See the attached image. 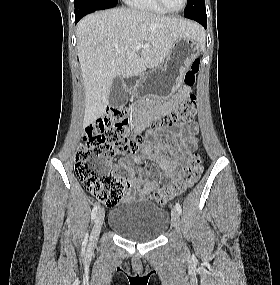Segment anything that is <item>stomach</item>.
Here are the masks:
<instances>
[{"mask_svg": "<svg viewBox=\"0 0 280 285\" xmlns=\"http://www.w3.org/2000/svg\"><path fill=\"white\" fill-rule=\"evenodd\" d=\"M199 54L200 46L197 39L191 37L178 39L166 57L161 73L143 75L131 85V93L140 95L144 88L159 85L157 98L160 101L168 100L182 86L185 72Z\"/></svg>", "mask_w": 280, "mask_h": 285, "instance_id": "0dacf381", "label": "stomach"}]
</instances>
